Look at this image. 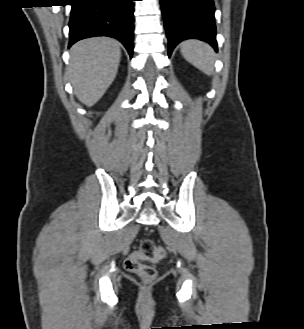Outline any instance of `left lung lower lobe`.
Wrapping results in <instances>:
<instances>
[{
  "mask_svg": "<svg viewBox=\"0 0 304 329\" xmlns=\"http://www.w3.org/2000/svg\"><path fill=\"white\" fill-rule=\"evenodd\" d=\"M168 56L185 39H199L217 50L213 0H160Z\"/></svg>",
  "mask_w": 304,
  "mask_h": 329,
  "instance_id": "1",
  "label": "left lung lower lobe"
}]
</instances>
